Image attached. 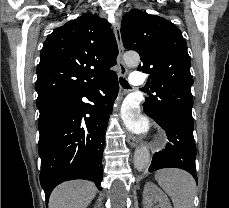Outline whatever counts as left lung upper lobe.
Listing matches in <instances>:
<instances>
[{"instance_id":"5c2ea615","label":"left lung upper lobe","mask_w":229,"mask_h":208,"mask_svg":"<svg viewBox=\"0 0 229 208\" xmlns=\"http://www.w3.org/2000/svg\"><path fill=\"white\" fill-rule=\"evenodd\" d=\"M121 36L124 47L141 57L137 70L150 73L148 86L156 96L146 98L145 112L193 124L191 60L180 29L162 17L129 11L122 18Z\"/></svg>"}]
</instances>
